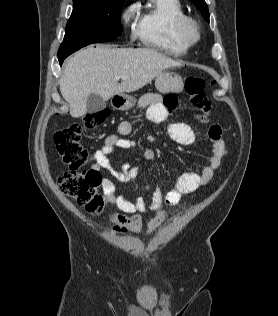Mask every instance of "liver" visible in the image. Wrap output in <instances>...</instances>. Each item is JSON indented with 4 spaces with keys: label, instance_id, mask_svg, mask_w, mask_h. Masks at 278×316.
Listing matches in <instances>:
<instances>
[{
    "label": "liver",
    "instance_id": "1",
    "mask_svg": "<svg viewBox=\"0 0 278 316\" xmlns=\"http://www.w3.org/2000/svg\"><path fill=\"white\" fill-rule=\"evenodd\" d=\"M182 64L147 48H112L99 45L78 51L69 59L60 78V92L69 103L70 115L87 113V97L94 93L104 101L114 95L139 90L164 69ZM127 76L118 83V76Z\"/></svg>",
    "mask_w": 278,
    "mask_h": 316
}]
</instances>
